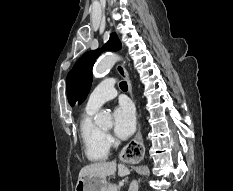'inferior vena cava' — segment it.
<instances>
[{
    "label": "inferior vena cava",
    "mask_w": 233,
    "mask_h": 191,
    "mask_svg": "<svg viewBox=\"0 0 233 191\" xmlns=\"http://www.w3.org/2000/svg\"><path fill=\"white\" fill-rule=\"evenodd\" d=\"M129 191H138V182L132 181L129 187Z\"/></svg>",
    "instance_id": "602c4592"
}]
</instances>
